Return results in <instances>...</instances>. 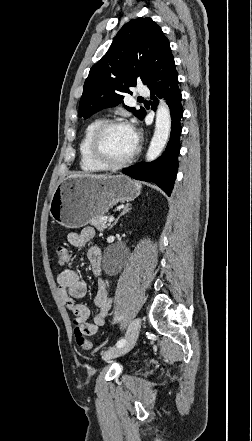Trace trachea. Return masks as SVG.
I'll list each match as a JSON object with an SVG mask.
<instances>
[{
    "instance_id": "trachea-1",
    "label": "trachea",
    "mask_w": 252,
    "mask_h": 441,
    "mask_svg": "<svg viewBox=\"0 0 252 441\" xmlns=\"http://www.w3.org/2000/svg\"><path fill=\"white\" fill-rule=\"evenodd\" d=\"M138 100H143V98L140 97V98H138Z\"/></svg>"
}]
</instances>
